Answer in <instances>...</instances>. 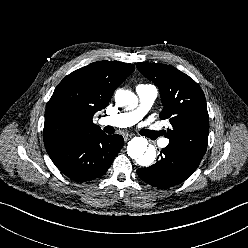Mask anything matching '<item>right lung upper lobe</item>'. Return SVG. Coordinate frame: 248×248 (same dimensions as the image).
<instances>
[{
	"instance_id": "obj_1",
	"label": "right lung upper lobe",
	"mask_w": 248,
	"mask_h": 248,
	"mask_svg": "<svg viewBox=\"0 0 248 248\" xmlns=\"http://www.w3.org/2000/svg\"><path fill=\"white\" fill-rule=\"evenodd\" d=\"M134 69L133 64L100 61L67 75L46 106L43 131L46 150L102 131L92 122L94 114L108 105L114 90Z\"/></svg>"
}]
</instances>
